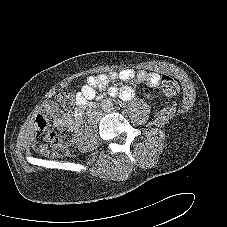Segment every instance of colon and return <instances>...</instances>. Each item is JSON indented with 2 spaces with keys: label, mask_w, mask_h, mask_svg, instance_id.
<instances>
[{
  "label": "colon",
  "mask_w": 227,
  "mask_h": 227,
  "mask_svg": "<svg viewBox=\"0 0 227 227\" xmlns=\"http://www.w3.org/2000/svg\"><path fill=\"white\" fill-rule=\"evenodd\" d=\"M160 85L163 93L167 96H173L179 92V85L171 76H162ZM72 101V94L59 92L54 100L43 105L41 113L35 119V129L32 137V147L37 152L50 157H65L75 153V147L69 134L65 131L57 133L48 124L50 118L60 113L61 107L71 105Z\"/></svg>",
  "instance_id": "colon-1"
}]
</instances>
